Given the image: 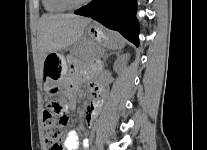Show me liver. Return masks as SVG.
<instances>
[{
	"mask_svg": "<svg viewBox=\"0 0 207 150\" xmlns=\"http://www.w3.org/2000/svg\"><path fill=\"white\" fill-rule=\"evenodd\" d=\"M90 22V18L72 14H44L38 25V48L42 70L46 56L77 45Z\"/></svg>",
	"mask_w": 207,
	"mask_h": 150,
	"instance_id": "1",
	"label": "liver"
}]
</instances>
